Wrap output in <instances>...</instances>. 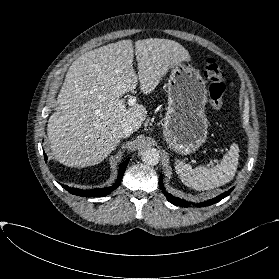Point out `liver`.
<instances>
[{
  "label": "liver",
  "mask_w": 279,
  "mask_h": 279,
  "mask_svg": "<svg viewBox=\"0 0 279 279\" xmlns=\"http://www.w3.org/2000/svg\"><path fill=\"white\" fill-rule=\"evenodd\" d=\"M138 74L133 69L131 40H120L88 51L69 67L57 97L58 111L47 126L50 148L56 160L69 167L102 162L120 142L126 126L137 131L147 110L141 104L126 108L120 99L140 83L151 93L168 69L189 61L188 51L178 42L149 38L135 42Z\"/></svg>",
  "instance_id": "liver-1"
}]
</instances>
